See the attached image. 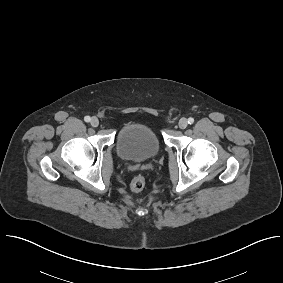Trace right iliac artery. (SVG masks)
I'll return each mask as SVG.
<instances>
[{
  "label": "right iliac artery",
  "instance_id": "1",
  "mask_svg": "<svg viewBox=\"0 0 283 283\" xmlns=\"http://www.w3.org/2000/svg\"><path fill=\"white\" fill-rule=\"evenodd\" d=\"M84 120H85V122H90L91 118H90L89 116H86V117L84 118Z\"/></svg>",
  "mask_w": 283,
  "mask_h": 283
}]
</instances>
